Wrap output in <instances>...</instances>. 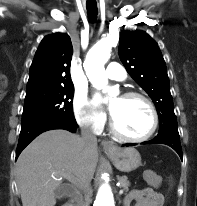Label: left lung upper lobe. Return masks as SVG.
Returning a JSON list of instances; mask_svg holds the SVG:
<instances>
[{"label": "left lung upper lobe", "mask_w": 197, "mask_h": 206, "mask_svg": "<svg viewBox=\"0 0 197 206\" xmlns=\"http://www.w3.org/2000/svg\"><path fill=\"white\" fill-rule=\"evenodd\" d=\"M119 57L129 75L146 91L159 116V132L178 133L166 64L157 43L143 31H123Z\"/></svg>", "instance_id": "5c2ea615"}]
</instances>
